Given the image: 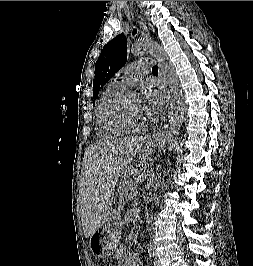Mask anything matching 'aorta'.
<instances>
[{
  "mask_svg": "<svg viewBox=\"0 0 253 266\" xmlns=\"http://www.w3.org/2000/svg\"><path fill=\"white\" fill-rule=\"evenodd\" d=\"M130 51L134 56H141L150 53L159 60L164 83L170 88L168 92V124L170 126L171 133L178 135L183 123L185 107L179 79L174 66L167 61V53L159 44L147 41L135 42L132 44Z\"/></svg>",
  "mask_w": 253,
  "mask_h": 266,
  "instance_id": "1",
  "label": "aorta"
}]
</instances>
